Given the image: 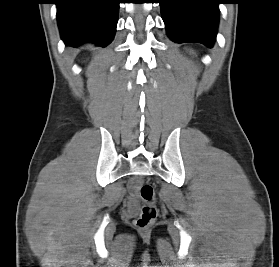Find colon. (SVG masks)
<instances>
[{"instance_id":"obj_1","label":"colon","mask_w":279,"mask_h":267,"mask_svg":"<svg viewBox=\"0 0 279 267\" xmlns=\"http://www.w3.org/2000/svg\"><path fill=\"white\" fill-rule=\"evenodd\" d=\"M139 193L143 206L134 223L138 228L145 229L151 226L157 217L156 196L153 186L149 183L142 184L139 188Z\"/></svg>"}]
</instances>
